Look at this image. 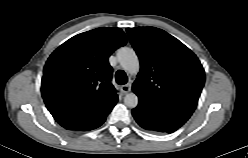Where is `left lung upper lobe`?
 Here are the masks:
<instances>
[{
    "label": "left lung upper lobe",
    "instance_id": "1",
    "mask_svg": "<svg viewBox=\"0 0 248 158\" xmlns=\"http://www.w3.org/2000/svg\"><path fill=\"white\" fill-rule=\"evenodd\" d=\"M141 69L132 89L135 108L172 133L194 112L205 82L197 56L183 43L155 27L127 28Z\"/></svg>",
    "mask_w": 248,
    "mask_h": 158
}]
</instances>
